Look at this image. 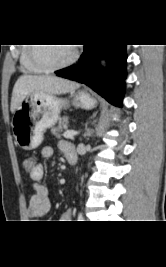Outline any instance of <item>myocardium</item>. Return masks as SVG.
<instances>
[{"mask_svg": "<svg viewBox=\"0 0 166 267\" xmlns=\"http://www.w3.org/2000/svg\"><path fill=\"white\" fill-rule=\"evenodd\" d=\"M39 47H40L39 44H34V46H31V58H32V61L36 65H38L39 67H41L45 71L53 72V71L67 68V67L71 66L73 63H75L77 58H78V49L74 48L71 57L66 62L61 63V64L52 65V64L47 63L46 61H44L40 57Z\"/></svg>", "mask_w": 166, "mask_h": 267, "instance_id": "obj_1", "label": "myocardium"}]
</instances>
